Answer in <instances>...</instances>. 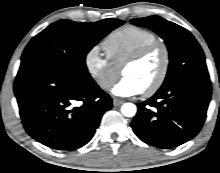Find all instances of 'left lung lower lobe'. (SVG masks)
Instances as JSON below:
<instances>
[{
  "mask_svg": "<svg viewBox=\"0 0 220 173\" xmlns=\"http://www.w3.org/2000/svg\"><path fill=\"white\" fill-rule=\"evenodd\" d=\"M211 98L210 80L184 81L160 88L138 103L131 127L146 144L174 148L200 131Z\"/></svg>",
  "mask_w": 220,
  "mask_h": 173,
  "instance_id": "1",
  "label": "left lung lower lobe"
}]
</instances>
